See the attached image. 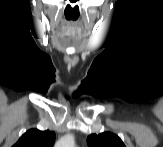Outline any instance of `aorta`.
<instances>
[{"instance_id":"obj_1","label":"aorta","mask_w":163,"mask_h":147,"mask_svg":"<svg viewBox=\"0 0 163 147\" xmlns=\"http://www.w3.org/2000/svg\"><path fill=\"white\" fill-rule=\"evenodd\" d=\"M75 140L72 135H66L62 137L57 143L56 147H74Z\"/></svg>"}]
</instances>
